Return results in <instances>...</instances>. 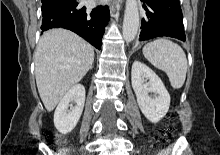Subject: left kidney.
I'll list each match as a JSON object with an SVG mask.
<instances>
[{
	"label": "left kidney",
	"instance_id": "left-kidney-1",
	"mask_svg": "<svg viewBox=\"0 0 220 155\" xmlns=\"http://www.w3.org/2000/svg\"><path fill=\"white\" fill-rule=\"evenodd\" d=\"M131 81L141 112L150 122L158 123L166 115L170 105V95L163 82L151 68L140 61L133 62ZM149 93L154 95L149 96Z\"/></svg>",
	"mask_w": 220,
	"mask_h": 155
}]
</instances>
